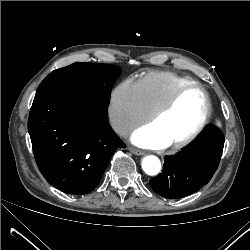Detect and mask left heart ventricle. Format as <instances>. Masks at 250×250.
Returning <instances> with one entry per match:
<instances>
[{"label":"left heart ventricle","instance_id":"1","mask_svg":"<svg viewBox=\"0 0 250 250\" xmlns=\"http://www.w3.org/2000/svg\"><path fill=\"white\" fill-rule=\"evenodd\" d=\"M205 99L199 89L186 91L176 105L152 125L169 142L189 135L201 122L205 113Z\"/></svg>","mask_w":250,"mask_h":250}]
</instances>
